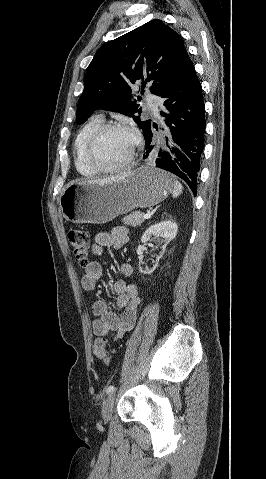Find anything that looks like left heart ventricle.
<instances>
[{
  "label": "left heart ventricle",
  "mask_w": 266,
  "mask_h": 479,
  "mask_svg": "<svg viewBox=\"0 0 266 479\" xmlns=\"http://www.w3.org/2000/svg\"><path fill=\"white\" fill-rule=\"evenodd\" d=\"M134 143L131 134L122 130H112L105 133L98 141L94 157L103 167H113L123 163Z\"/></svg>",
  "instance_id": "b2bd125f"
}]
</instances>
